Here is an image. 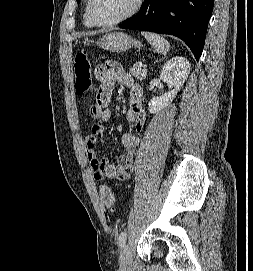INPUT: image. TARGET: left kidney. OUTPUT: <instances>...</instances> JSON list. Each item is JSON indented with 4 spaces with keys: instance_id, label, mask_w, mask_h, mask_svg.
<instances>
[{
    "instance_id": "5707ae66",
    "label": "left kidney",
    "mask_w": 253,
    "mask_h": 271,
    "mask_svg": "<svg viewBox=\"0 0 253 271\" xmlns=\"http://www.w3.org/2000/svg\"><path fill=\"white\" fill-rule=\"evenodd\" d=\"M190 70L191 65L184 57H173L164 64L160 73V79L174 89L159 97H153L148 104L150 113L155 114L162 111L173 101L187 80Z\"/></svg>"
}]
</instances>
